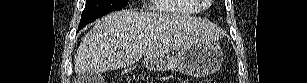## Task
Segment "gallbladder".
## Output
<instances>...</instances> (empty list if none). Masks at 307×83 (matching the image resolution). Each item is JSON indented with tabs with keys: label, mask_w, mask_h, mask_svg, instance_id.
<instances>
[{
	"label": "gallbladder",
	"mask_w": 307,
	"mask_h": 83,
	"mask_svg": "<svg viewBox=\"0 0 307 83\" xmlns=\"http://www.w3.org/2000/svg\"><path fill=\"white\" fill-rule=\"evenodd\" d=\"M102 79L103 77L99 73H89L86 74L85 78L82 80V83H100Z\"/></svg>",
	"instance_id": "obj_1"
}]
</instances>
